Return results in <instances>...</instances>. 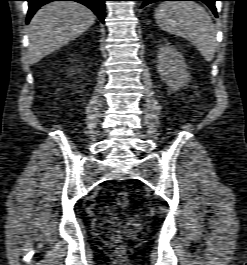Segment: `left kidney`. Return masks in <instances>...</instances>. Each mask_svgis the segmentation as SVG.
Listing matches in <instances>:
<instances>
[{
    "label": "left kidney",
    "mask_w": 247,
    "mask_h": 265,
    "mask_svg": "<svg viewBox=\"0 0 247 265\" xmlns=\"http://www.w3.org/2000/svg\"><path fill=\"white\" fill-rule=\"evenodd\" d=\"M157 69L161 79L174 91L186 86L190 80L183 55L170 43L161 45L158 52Z\"/></svg>",
    "instance_id": "1"
}]
</instances>
